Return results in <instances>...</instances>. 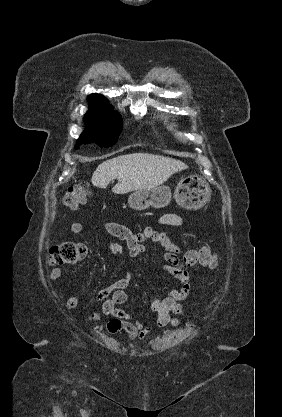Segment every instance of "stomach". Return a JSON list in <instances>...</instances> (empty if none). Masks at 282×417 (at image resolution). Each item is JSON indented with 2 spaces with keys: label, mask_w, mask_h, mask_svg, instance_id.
I'll return each mask as SVG.
<instances>
[{
  "label": "stomach",
  "mask_w": 282,
  "mask_h": 417,
  "mask_svg": "<svg viewBox=\"0 0 282 417\" xmlns=\"http://www.w3.org/2000/svg\"><path fill=\"white\" fill-rule=\"evenodd\" d=\"M211 194V188L202 176H191V178H181L178 182L174 198L177 204L182 206V209L188 211H198L202 206L208 202ZM172 198L171 188L161 184V186H154V188H143V190H136L132 192L128 198L131 209L135 211H145L149 206H154V209H162V206H167Z\"/></svg>",
  "instance_id": "stomach-1"
}]
</instances>
